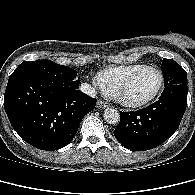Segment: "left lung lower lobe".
I'll return each instance as SVG.
<instances>
[{"label": "left lung lower lobe", "mask_w": 195, "mask_h": 195, "mask_svg": "<svg viewBox=\"0 0 195 195\" xmlns=\"http://www.w3.org/2000/svg\"><path fill=\"white\" fill-rule=\"evenodd\" d=\"M187 105V84L165 86L147 108L120 112L115 138L126 148L145 151L166 141L179 127Z\"/></svg>", "instance_id": "1"}]
</instances>
